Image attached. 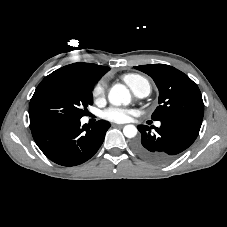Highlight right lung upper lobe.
I'll use <instances>...</instances> for the list:
<instances>
[{
    "mask_svg": "<svg viewBox=\"0 0 227 227\" xmlns=\"http://www.w3.org/2000/svg\"><path fill=\"white\" fill-rule=\"evenodd\" d=\"M110 68L92 63H73L54 72L73 76L95 84Z\"/></svg>",
    "mask_w": 227,
    "mask_h": 227,
    "instance_id": "cb5924a9",
    "label": "right lung upper lobe"
}]
</instances>
